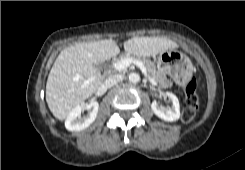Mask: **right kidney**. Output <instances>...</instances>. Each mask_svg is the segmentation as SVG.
<instances>
[{
    "label": "right kidney",
    "instance_id": "ca27d5eb",
    "mask_svg": "<svg viewBox=\"0 0 245 170\" xmlns=\"http://www.w3.org/2000/svg\"><path fill=\"white\" fill-rule=\"evenodd\" d=\"M99 104L96 101L77 105L71 110L65 120V127L69 131H81L87 128L97 117ZM87 111V114L81 116L83 111Z\"/></svg>",
    "mask_w": 245,
    "mask_h": 170
}]
</instances>
